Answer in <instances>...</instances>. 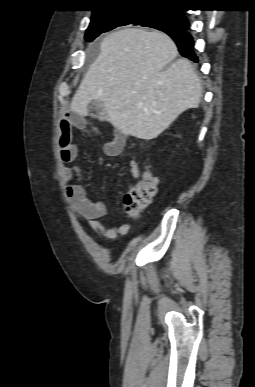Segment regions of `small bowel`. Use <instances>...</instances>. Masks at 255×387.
I'll use <instances>...</instances> for the list:
<instances>
[{"label":"small bowel","mask_w":255,"mask_h":387,"mask_svg":"<svg viewBox=\"0 0 255 387\" xmlns=\"http://www.w3.org/2000/svg\"><path fill=\"white\" fill-rule=\"evenodd\" d=\"M88 126L86 117L80 114L65 115L59 124V150L61 160L65 163L72 162L78 154V146L74 141L73 129H85ZM126 144V137L119 131H114V136L103 146L107 156H119ZM130 174L133 178L140 176L136 160L129 161ZM66 196L72 211L86 222L89 227L99 235L114 238L129 231L130 226L124 223L120 226H105L100 219L106 215V205L100 199H93L88 195L85 186V177L80 167H66Z\"/></svg>","instance_id":"small-bowel-1"}]
</instances>
